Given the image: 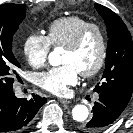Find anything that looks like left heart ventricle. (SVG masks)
Returning <instances> with one entry per match:
<instances>
[{
	"label": "left heart ventricle",
	"instance_id": "obj_1",
	"mask_svg": "<svg viewBox=\"0 0 133 133\" xmlns=\"http://www.w3.org/2000/svg\"><path fill=\"white\" fill-rule=\"evenodd\" d=\"M100 53V38L96 31H90L82 45L75 51L64 49L62 63L74 65L81 73L95 66Z\"/></svg>",
	"mask_w": 133,
	"mask_h": 133
}]
</instances>
